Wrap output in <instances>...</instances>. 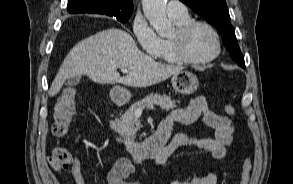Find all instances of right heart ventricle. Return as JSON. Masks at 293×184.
<instances>
[{
  "label": "right heart ventricle",
  "mask_w": 293,
  "mask_h": 184,
  "mask_svg": "<svg viewBox=\"0 0 293 184\" xmlns=\"http://www.w3.org/2000/svg\"><path fill=\"white\" fill-rule=\"evenodd\" d=\"M171 19L174 21V23L177 25V27L190 21V18L188 15L185 17H171ZM155 57L157 59H159L160 61H163L166 63L179 62L175 58V56L172 52L170 38H162L161 39L160 49Z\"/></svg>",
  "instance_id": "right-heart-ventricle-1"
}]
</instances>
